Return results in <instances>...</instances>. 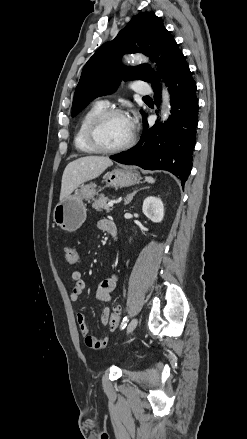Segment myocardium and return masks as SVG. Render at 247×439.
I'll use <instances>...</instances> for the list:
<instances>
[{"instance_id":"myocardium-1","label":"myocardium","mask_w":247,"mask_h":439,"mask_svg":"<svg viewBox=\"0 0 247 439\" xmlns=\"http://www.w3.org/2000/svg\"><path fill=\"white\" fill-rule=\"evenodd\" d=\"M113 116L126 117V113L123 110L116 108L105 109L100 113H98L97 115H95L88 124L86 131V138L89 145L97 152L106 153V154L119 153L129 149L135 143V134L132 131L129 140L118 147L109 148L102 144L99 137L100 128L108 118Z\"/></svg>"}]
</instances>
